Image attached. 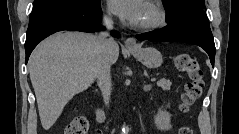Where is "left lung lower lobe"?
<instances>
[{
    "mask_svg": "<svg viewBox=\"0 0 239 134\" xmlns=\"http://www.w3.org/2000/svg\"><path fill=\"white\" fill-rule=\"evenodd\" d=\"M136 38L151 42L177 41L198 45L208 53L214 66L216 49L204 9L189 8L163 29L139 34Z\"/></svg>",
    "mask_w": 239,
    "mask_h": 134,
    "instance_id": "0a47b994",
    "label": "left lung lower lobe"
}]
</instances>
